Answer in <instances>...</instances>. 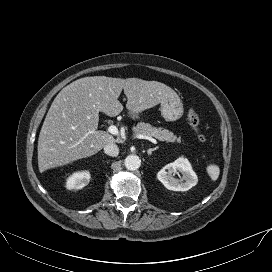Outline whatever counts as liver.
<instances>
[{
  "instance_id": "obj_1",
  "label": "liver",
  "mask_w": 272,
  "mask_h": 272,
  "mask_svg": "<svg viewBox=\"0 0 272 272\" xmlns=\"http://www.w3.org/2000/svg\"><path fill=\"white\" fill-rule=\"evenodd\" d=\"M122 90L132 119L160 103L178 100L177 93L158 81L139 78L92 76L64 87L49 108L38 138V167L44 171L90 157L106 144L114 143L109 133L97 130L99 112L110 117L123 110L118 100Z\"/></svg>"
}]
</instances>
